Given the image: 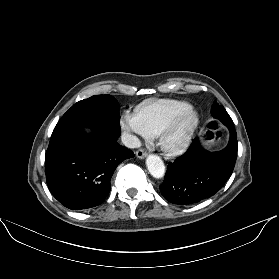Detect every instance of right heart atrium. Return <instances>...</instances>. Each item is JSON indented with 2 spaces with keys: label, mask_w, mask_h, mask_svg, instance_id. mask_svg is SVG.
Masks as SVG:
<instances>
[{
  "label": "right heart atrium",
  "mask_w": 279,
  "mask_h": 279,
  "mask_svg": "<svg viewBox=\"0 0 279 279\" xmlns=\"http://www.w3.org/2000/svg\"><path fill=\"white\" fill-rule=\"evenodd\" d=\"M121 127L129 134L131 145H137L141 138L148 137L136 113L126 112L121 119Z\"/></svg>",
  "instance_id": "1"
}]
</instances>
